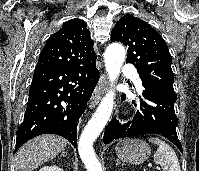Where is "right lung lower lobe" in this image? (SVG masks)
<instances>
[{
  "label": "right lung lower lobe",
  "mask_w": 199,
  "mask_h": 171,
  "mask_svg": "<svg viewBox=\"0 0 199 171\" xmlns=\"http://www.w3.org/2000/svg\"><path fill=\"white\" fill-rule=\"evenodd\" d=\"M96 58L75 66L36 68L14 153L31 138L56 134L77 144V124L99 80Z\"/></svg>",
  "instance_id": "98d812e1"
}]
</instances>
